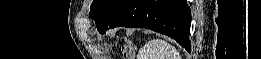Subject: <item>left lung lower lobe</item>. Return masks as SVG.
<instances>
[{"label":"left lung lower lobe","instance_id":"left-lung-lower-lobe-1","mask_svg":"<svg viewBox=\"0 0 261 59\" xmlns=\"http://www.w3.org/2000/svg\"><path fill=\"white\" fill-rule=\"evenodd\" d=\"M191 12L186 0H120L98 23L104 34L114 27L147 28L170 36L190 52Z\"/></svg>","mask_w":261,"mask_h":59}]
</instances>
